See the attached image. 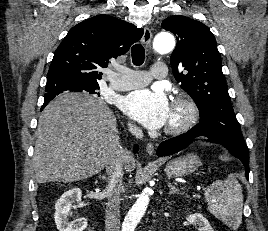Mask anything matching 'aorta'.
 <instances>
[{
	"mask_svg": "<svg viewBox=\"0 0 268 231\" xmlns=\"http://www.w3.org/2000/svg\"><path fill=\"white\" fill-rule=\"evenodd\" d=\"M154 49L160 53H169L175 47V39L169 33H160L154 39ZM150 200V189L145 188L137 197L136 202L128 211L122 224V231H134L143 217Z\"/></svg>",
	"mask_w": 268,
	"mask_h": 231,
	"instance_id": "1",
	"label": "aorta"
}]
</instances>
